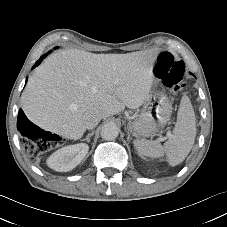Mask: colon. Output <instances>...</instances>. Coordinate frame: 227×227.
Returning <instances> with one entry per match:
<instances>
[{
  "label": "colon",
  "mask_w": 227,
  "mask_h": 227,
  "mask_svg": "<svg viewBox=\"0 0 227 227\" xmlns=\"http://www.w3.org/2000/svg\"><path fill=\"white\" fill-rule=\"evenodd\" d=\"M154 74L173 92L180 91L185 76V65L183 61L175 59L169 52L161 53L154 66ZM33 141H26L23 145L25 153L30 156L45 152L50 148L51 134L43 131H36Z\"/></svg>",
  "instance_id": "obj_1"
}]
</instances>
